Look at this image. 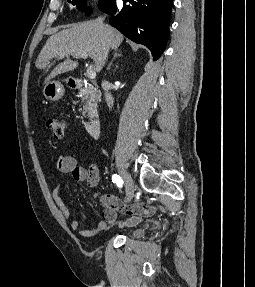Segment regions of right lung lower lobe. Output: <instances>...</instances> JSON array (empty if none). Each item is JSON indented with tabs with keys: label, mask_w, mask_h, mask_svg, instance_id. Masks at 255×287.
<instances>
[{
	"label": "right lung lower lobe",
	"mask_w": 255,
	"mask_h": 287,
	"mask_svg": "<svg viewBox=\"0 0 255 287\" xmlns=\"http://www.w3.org/2000/svg\"><path fill=\"white\" fill-rule=\"evenodd\" d=\"M123 3L121 11L115 5L108 12L112 14L111 26L130 40L148 47L157 60L169 37L172 0H123Z\"/></svg>",
	"instance_id": "1"
}]
</instances>
